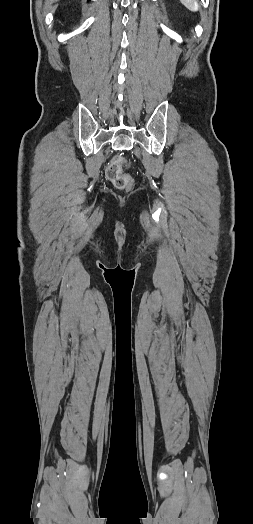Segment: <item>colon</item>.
Returning <instances> with one entry per match:
<instances>
[{
	"label": "colon",
	"mask_w": 253,
	"mask_h": 524,
	"mask_svg": "<svg viewBox=\"0 0 253 524\" xmlns=\"http://www.w3.org/2000/svg\"><path fill=\"white\" fill-rule=\"evenodd\" d=\"M126 165V160L117 156L112 159L106 168V176L118 189H129L132 186V178L125 173L123 168Z\"/></svg>",
	"instance_id": "1"
}]
</instances>
